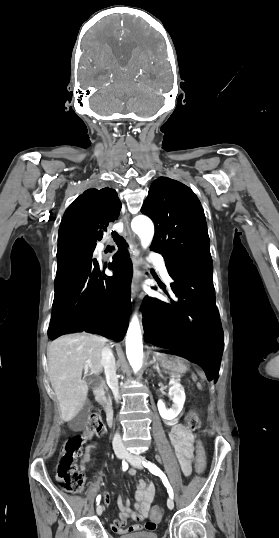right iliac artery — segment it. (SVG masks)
<instances>
[{
  "instance_id": "82829eb1",
  "label": "right iliac artery",
  "mask_w": 279,
  "mask_h": 538,
  "mask_svg": "<svg viewBox=\"0 0 279 538\" xmlns=\"http://www.w3.org/2000/svg\"><path fill=\"white\" fill-rule=\"evenodd\" d=\"M122 469H123V471L128 469V464H127V462L125 460H123V462H122ZM100 500H101V495H98L97 498H96L97 504H99Z\"/></svg>"
}]
</instances>
